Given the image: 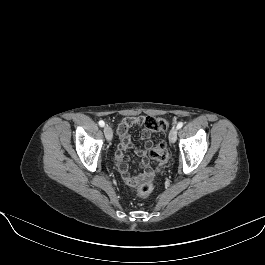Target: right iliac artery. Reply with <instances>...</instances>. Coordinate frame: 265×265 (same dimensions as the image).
<instances>
[{"mask_svg": "<svg viewBox=\"0 0 265 265\" xmlns=\"http://www.w3.org/2000/svg\"><path fill=\"white\" fill-rule=\"evenodd\" d=\"M99 125H100L101 127H104V126H105V122H104L103 120H100V121H99Z\"/></svg>", "mask_w": 265, "mask_h": 265, "instance_id": "obj_1", "label": "right iliac artery"}]
</instances>
